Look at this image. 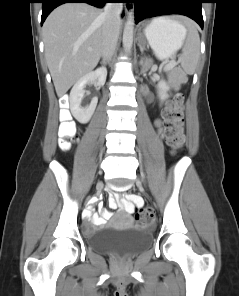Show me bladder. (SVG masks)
Here are the masks:
<instances>
[{
    "label": "bladder",
    "instance_id": "obj_1",
    "mask_svg": "<svg viewBox=\"0 0 239 296\" xmlns=\"http://www.w3.org/2000/svg\"><path fill=\"white\" fill-rule=\"evenodd\" d=\"M91 248L103 254L133 256L152 244V233L136 225L126 228L104 226L86 237Z\"/></svg>",
    "mask_w": 239,
    "mask_h": 296
}]
</instances>
